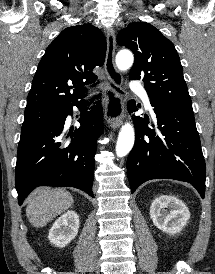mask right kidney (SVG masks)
Returning <instances> with one entry per match:
<instances>
[{
    "label": "right kidney",
    "mask_w": 215,
    "mask_h": 274,
    "mask_svg": "<svg viewBox=\"0 0 215 274\" xmlns=\"http://www.w3.org/2000/svg\"><path fill=\"white\" fill-rule=\"evenodd\" d=\"M79 217L75 211H67L59 217L49 231V241L57 247H65L78 234Z\"/></svg>",
    "instance_id": "1"
}]
</instances>
